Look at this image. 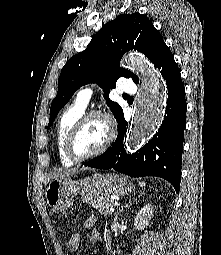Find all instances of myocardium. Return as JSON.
<instances>
[{
	"label": "myocardium",
	"mask_w": 221,
	"mask_h": 255,
	"mask_svg": "<svg viewBox=\"0 0 221 255\" xmlns=\"http://www.w3.org/2000/svg\"><path fill=\"white\" fill-rule=\"evenodd\" d=\"M92 118H100L104 122L106 126V130H107L106 139L104 143L101 145V147L98 148L96 151L87 155H78L75 151L76 138L80 130L82 129V127ZM115 134H116V131H115L113 121L107 113L100 110H90V111L84 112L80 116V118L74 123V125L71 127L67 135L66 142H65L66 155L68 156L70 160H72L75 163H80V162L98 157L110 147L111 143L113 142L115 138Z\"/></svg>",
	"instance_id": "obj_1"
}]
</instances>
